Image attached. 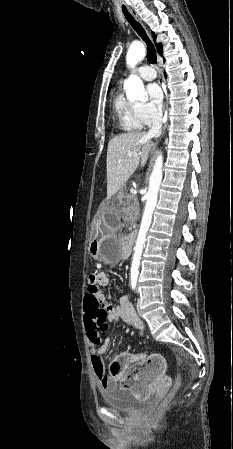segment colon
Instances as JSON below:
<instances>
[{
    "label": "colon",
    "mask_w": 233,
    "mask_h": 449,
    "mask_svg": "<svg viewBox=\"0 0 233 449\" xmlns=\"http://www.w3.org/2000/svg\"><path fill=\"white\" fill-rule=\"evenodd\" d=\"M100 296H90L89 291L86 292L85 297L81 298V305L84 310L82 316L83 323H86L87 328H99L104 330L108 326V321L106 319L107 312L100 305ZM121 386L123 388H129L130 382L129 378H125L121 381ZM180 387V379L178 378L176 383L173 385L169 397L161 405L160 410L167 406L170 398L177 392Z\"/></svg>",
    "instance_id": "colon-1"
}]
</instances>
